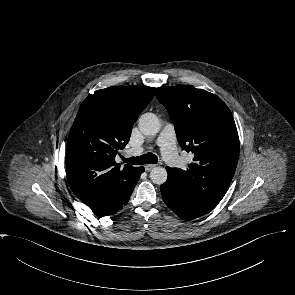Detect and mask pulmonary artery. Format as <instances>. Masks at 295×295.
Returning a JSON list of instances; mask_svg holds the SVG:
<instances>
[{"mask_svg": "<svg viewBox=\"0 0 295 295\" xmlns=\"http://www.w3.org/2000/svg\"><path fill=\"white\" fill-rule=\"evenodd\" d=\"M157 144L160 147L163 158L171 166H175L180 162L176 148V132L171 124L166 125L157 138ZM143 148H136L133 152L140 153Z\"/></svg>", "mask_w": 295, "mask_h": 295, "instance_id": "obj_1", "label": "pulmonary artery"}]
</instances>
